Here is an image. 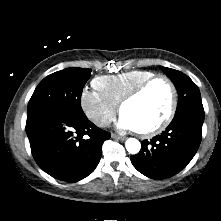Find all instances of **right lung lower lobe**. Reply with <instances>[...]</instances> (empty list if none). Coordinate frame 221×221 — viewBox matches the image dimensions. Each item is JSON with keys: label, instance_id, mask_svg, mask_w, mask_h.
I'll list each match as a JSON object with an SVG mask.
<instances>
[{"label": "right lung lower lobe", "instance_id": "right-lung-lower-lobe-1", "mask_svg": "<svg viewBox=\"0 0 221 221\" xmlns=\"http://www.w3.org/2000/svg\"><path fill=\"white\" fill-rule=\"evenodd\" d=\"M26 133L38 166L65 182H77L98 165L102 144L110 133L90 122L85 114L66 110L27 117Z\"/></svg>", "mask_w": 221, "mask_h": 221}]
</instances>
